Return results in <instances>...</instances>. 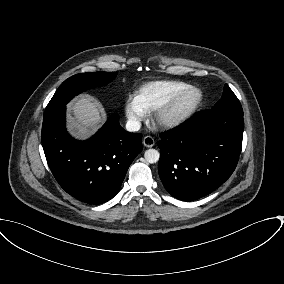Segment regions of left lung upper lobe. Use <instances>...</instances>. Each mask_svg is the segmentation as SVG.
I'll use <instances>...</instances> for the list:
<instances>
[{"label":"left lung upper lobe","instance_id":"left-lung-upper-lobe-1","mask_svg":"<svg viewBox=\"0 0 284 284\" xmlns=\"http://www.w3.org/2000/svg\"><path fill=\"white\" fill-rule=\"evenodd\" d=\"M213 109H229L243 112L238 98L227 84L224 86L221 99L213 106Z\"/></svg>","mask_w":284,"mask_h":284}]
</instances>
